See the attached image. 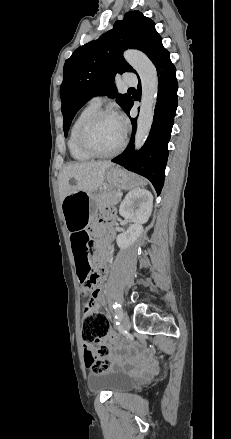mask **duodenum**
<instances>
[{"label":"duodenum","mask_w":231,"mask_h":439,"mask_svg":"<svg viewBox=\"0 0 231 439\" xmlns=\"http://www.w3.org/2000/svg\"><path fill=\"white\" fill-rule=\"evenodd\" d=\"M110 240L105 241L104 240V244L108 243ZM99 252V251H97ZM105 271V263L103 262V260L101 261V263L98 265V272L101 274Z\"/></svg>","instance_id":"1"}]
</instances>
